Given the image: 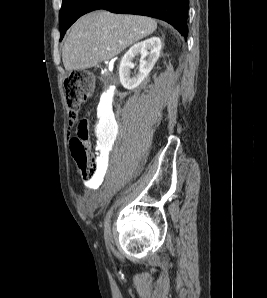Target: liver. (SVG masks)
Segmentation results:
<instances>
[{
  "label": "liver",
  "mask_w": 267,
  "mask_h": 298,
  "mask_svg": "<svg viewBox=\"0 0 267 298\" xmlns=\"http://www.w3.org/2000/svg\"><path fill=\"white\" fill-rule=\"evenodd\" d=\"M157 22L149 17L98 10L80 17L71 27L62 50L67 71L84 70L112 59L152 34Z\"/></svg>",
  "instance_id": "1"
}]
</instances>
